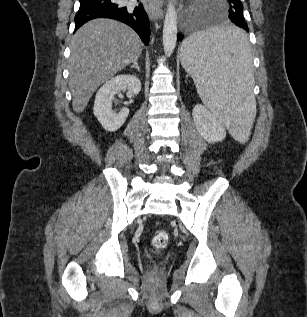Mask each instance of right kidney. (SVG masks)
Returning a JSON list of instances; mask_svg holds the SVG:
<instances>
[{"mask_svg":"<svg viewBox=\"0 0 307 317\" xmlns=\"http://www.w3.org/2000/svg\"><path fill=\"white\" fill-rule=\"evenodd\" d=\"M128 91L137 95L141 90L140 80L133 75H118L109 79L96 93L93 112L102 127L110 132L118 130L129 115L128 108L119 113L112 111L114 96L120 91Z\"/></svg>","mask_w":307,"mask_h":317,"instance_id":"right-kidney-1","label":"right kidney"}]
</instances>
